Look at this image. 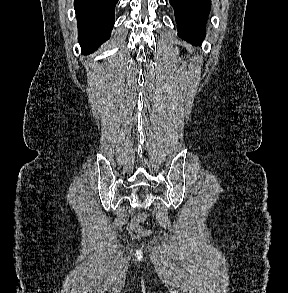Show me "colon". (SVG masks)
Returning <instances> with one entry per match:
<instances>
[{"label":"colon","mask_w":288,"mask_h":293,"mask_svg":"<svg viewBox=\"0 0 288 293\" xmlns=\"http://www.w3.org/2000/svg\"><path fill=\"white\" fill-rule=\"evenodd\" d=\"M141 217L136 218L130 226V234L132 237H139L142 234V229L139 225Z\"/></svg>","instance_id":"5ec220e1"}]
</instances>
